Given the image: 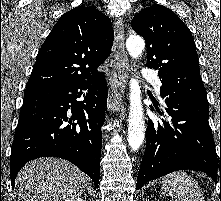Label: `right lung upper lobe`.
I'll list each match as a JSON object with an SVG mask.
<instances>
[{
	"label": "right lung upper lobe",
	"instance_id": "right-lung-upper-lobe-1",
	"mask_svg": "<svg viewBox=\"0 0 221 201\" xmlns=\"http://www.w3.org/2000/svg\"><path fill=\"white\" fill-rule=\"evenodd\" d=\"M113 28L93 6L60 17L38 52L27 86H59L103 75L97 70L110 55Z\"/></svg>",
	"mask_w": 221,
	"mask_h": 201
}]
</instances>
